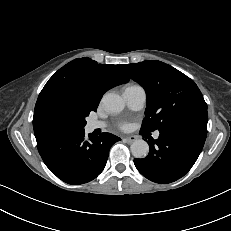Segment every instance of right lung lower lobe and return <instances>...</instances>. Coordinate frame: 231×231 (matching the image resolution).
<instances>
[{"label": "right lung lower lobe", "instance_id": "98d812e1", "mask_svg": "<svg viewBox=\"0 0 231 231\" xmlns=\"http://www.w3.org/2000/svg\"><path fill=\"white\" fill-rule=\"evenodd\" d=\"M38 151L49 170L72 185L87 183L104 169L110 147L119 137L102 133L85 138V131L63 135H35Z\"/></svg>", "mask_w": 231, "mask_h": 231}]
</instances>
